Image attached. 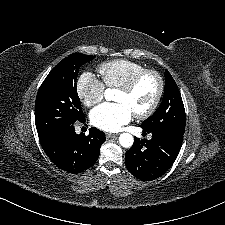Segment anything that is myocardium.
Returning <instances> with one entry per match:
<instances>
[{"label": "myocardium", "mask_w": 225, "mask_h": 225, "mask_svg": "<svg viewBox=\"0 0 225 225\" xmlns=\"http://www.w3.org/2000/svg\"><path fill=\"white\" fill-rule=\"evenodd\" d=\"M147 75L155 77L157 81V91L150 106L146 110L134 114L135 118L137 119H145L152 115L157 109L164 92V80L162 76L155 70L144 69L135 74L126 84L119 88V90L124 93H131L140 82V80H142Z\"/></svg>", "instance_id": "myocardium-1"}]
</instances>
